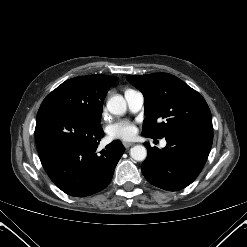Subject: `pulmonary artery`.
Wrapping results in <instances>:
<instances>
[{"mask_svg":"<svg viewBox=\"0 0 247 247\" xmlns=\"http://www.w3.org/2000/svg\"><path fill=\"white\" fill-rule=\"evenodd\" d=\"M128 108L131 112L136 113L141 110L144 104V96L140 91L128 89L124 93ZM167 142L161 141L160 146L165 147Z\"/></svg>","mask_w":247,"mask_h":247,"instance_id":"1","label":"pulmonary artery"}]
</instances>
